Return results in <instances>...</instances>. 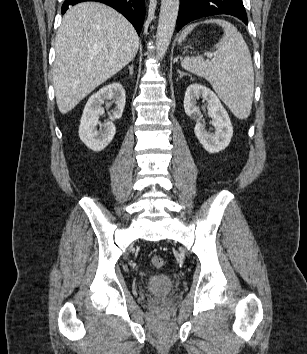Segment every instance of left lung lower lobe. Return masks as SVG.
I'll use <instances>...</instances> for the list:
<instances>
[{
	"mask_svg": "<svg viewBox=\"0 0 307 354\" xmlns=\"http://www.w3.org/2000/svg\"><path fill=\"white\" fill-rule=\"evenodd\" d=\"M217 14L232 15L248 22L242 0H180L177 31L190 21Z\"/></svg>",
	"mask_w": 307,
	"mask_h": 354,
	"instance_id": "0a47b994",
	"label": "left lung lower lobe"
}]
</instances>
